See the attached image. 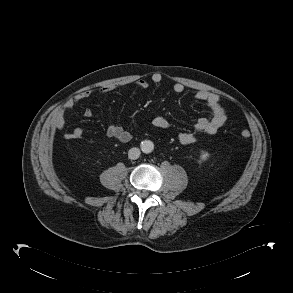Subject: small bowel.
Here are the masks:
<instances>
[{"instance_id":"small-bowel-1","label":"small bowel","mask_w":293,"mask_h":293,"mask_svg":"<svg viewBox=\"0 0 293 293\" xmlns=\"http://www.w3.org/2000/svg\"><path fill=\"white\" fill-rule=\"evenodd\" d=\"M162 76L159 73H154L151 76V82L153 84H160ZM135 86L141 90H147L149 88V82L144 79H139L135 82ZM116 89L115 85L105 86L100 89L101 94H107ZM173 91L177 94L184 91V86L181 83H175L173 85ZM91 96L90 91H82L76 94L73 98L68 100L66 104L56 110L50 117V125L53 128L62 129L66 126V113L71 111L80 101L87 99ZM197 101L204 102L210 111L209 117L199 118L192 132H182L179 134V142L183 145H189L194 143L199 135H213L220 128H222L227 120L225 109L221 104L220 96L216 93L209 92L207 90H198L193 95ZM86 118H92L94 112L92 109L87 108L84 111ZM152 124L155 128L161 130H167L170 127L169 122L164 117H156L153 119ZM107 135L111 138H115L123 143L129 142L132 139L130 131L118 124H110L106 131ZM83 130L79 127L74 128L72 131L64 135L67 140H76L81 138Z\"/></svg>"}]
</instances>
